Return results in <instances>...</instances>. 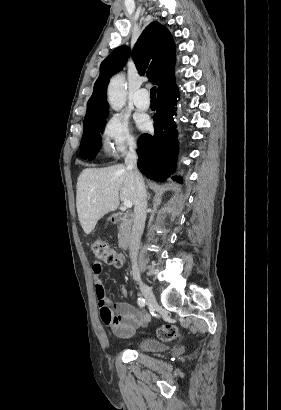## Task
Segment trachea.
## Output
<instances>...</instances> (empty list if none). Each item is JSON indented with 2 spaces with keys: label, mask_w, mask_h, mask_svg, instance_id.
<instances>
[{
  "label": "trachea",
  "mask_w": 281,
  "mask_h": 410,
  "mask_svg": "<svg viewBox=\"0 0 281 410\" xmlns=\"http://www.w3.org/2000/svg\"><path fill=\"white\" fill-rule=\"evenodd\" d=\"M150 98L156 99V87H152L150 90Z\"/></svg>",
  "instance_id": "3493384b"
}]
</instances>
